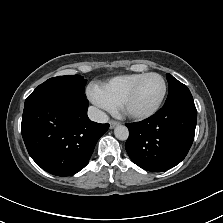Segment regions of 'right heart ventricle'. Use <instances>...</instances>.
Instances as JSON below:
<instances>
[{"instance_id":"1","label":"right heart ventricle","mask_w":223,"mask_h":223,"mask_svg":"<svg viewBox=\"0 0 223 223\" xmlns=\"http://www.w3.org/2000/svg\"><path fill=\"white\" fill-rule=\"evenodd\" d=\"M146 73H130L116 76L98 86L100 93L108 103L116 108L126 93Z\"/></svg>"}]
</instances>
